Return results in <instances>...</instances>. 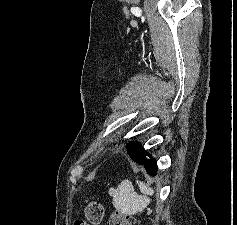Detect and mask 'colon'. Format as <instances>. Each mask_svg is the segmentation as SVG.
Masks as SVG:
<instances>
[{
	"label": "colon",
	"mask_w": 237,
	"mask_h": 225,
	"mask_svg": "<svg viewBox=\"0 0 237 225\" xmlns=\"http://www.w3.org/2000/svg\"><path fill=\"white\" fill-rule=\"evenodd\" d=\"M104 209L97 201L90 202L85 208V219H77L74 225H99L103 219ZM108 225H135L133 216L115 212L111 215Z\"/></svg>",
	"instance_id": "colon-1"
}]
</instances>
